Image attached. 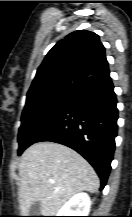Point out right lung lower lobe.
I'll return each mask as SVG.
<instances>
[{
  "label": "right lung lower lobe",
  "mask_w": 132,
  "mask_h": 217,
  "mask_svg": "<svg viewBox=\"0 0 132 217\" xmlns=\"http://www.w3.org/2000/svg\"><path fill=\"white\" fill-rule=\"evenodd\" d=\"M112 81L80 93L36 140L66 145L96 170L104 188L111 169L118 110ZM35 142V143H36Z\"/></svg>",
  "instance_id": "right-lung-lower-lobe-1"
}]
</instances>
